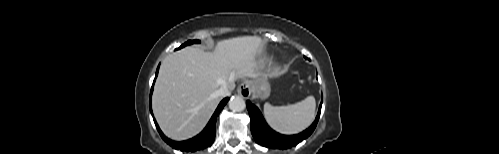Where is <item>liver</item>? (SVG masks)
I'll list each match as a JSON object with an SVG mask.
<instances>
[{
	"label": "liver",
	"mask_w": 499,
	"mask_h": 154,
	"mask_svg": "<svg viewBox=\"0 0 499 154\" xmlns=\"http://www.w3.org/2000/svg\"><path fill=\"white\" fill-rule=\"evenodd\" d=\"M262 47L261 38L244 36L219 41L213 53L191 46L167 55L153 93V112L165 135L178 141L197 135L220 101V87L233 90L235 80L263 75L257 59Z\"/></svg>",
	"instance_id": "1"
}]
</instances>
